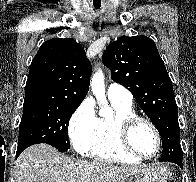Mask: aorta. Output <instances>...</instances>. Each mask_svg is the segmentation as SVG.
<instances>
[{"mask_svg": "<svg viewBox=\"0 0 196 182\" xmlns=\"http://www.w3.org/2000/svg\"><path fill=\"white\" fill-rule=\"evenodd\" d=\"M91 88L96 96L98 104L101 106L99 115L101 117H109L113 115L112 109L108 106L105 96L104 75L102 71H97L91 78Z\"/></svg>", "mask_w": 196, "mask_h": 182, "instance_id": "aorta-1", "label": "aorta"}]
</instances>
